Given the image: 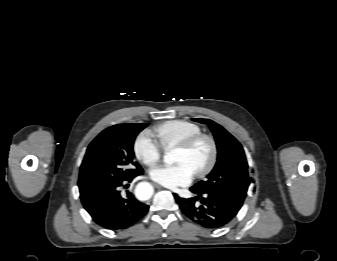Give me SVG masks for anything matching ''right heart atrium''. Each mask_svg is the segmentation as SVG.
<instances>
[{
	"label": "right heart atrium",
	"instance_id": "d8ad5b80",
	"mask_svg": "<svg viewBox=\"0 0 337 261\" xmlns=\"http://www.w3.org/2000/svg\"><path fill=\"white\" fill-rule=\"evenodd\" d=\"M162 145L150 131L141 132L134 142L136 157L148 166L157 163L162 155Z\"/></svg>",
	"mask_w": 337,
	"mask_h": 261
}]
</instances>
